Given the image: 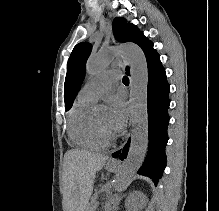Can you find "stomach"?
I'll list each match as a JSON object with an SVG mask.
<instances>
[{"label":"stomach","instance_id":"obj_1","mask_svg":"<svg viewBox=\"0 0 219 211\" xmlns=\"http://www.w3.org/2000/svg\"><path fill=\"white\" fill-rule=\"evenodd\" d=\"M106 169H107L108 171H110V172H114V171H116V170L118 169V165L112 164V163H108V164L106 165Z\"/></svg>","mask_w":219,"mask_h":211}]
</instances>
